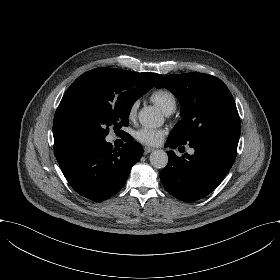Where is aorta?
Instances as JSON below:
<instances>
[{
	"label": "aorta",
	"instance_id": "obj_1",
	"mask_svg": "<svg viewBox=\"0 0 280 280\" xmlns=\"http://www.w3.org/2000/svg\"><path fill=\"white\" fill-rule=\"evenodd\" d=\"M140 124L146 129L157 128L163 125L164 118L160 110L154 106H145L138 113ZM150 163L157 169L166 167L168 155L164 150H155L150 154Z\"/></svg>",
	"mask_w": 280,
	"mask_h": 280
}]
</instances>
